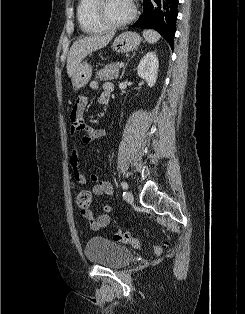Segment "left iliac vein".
<instances>
[{
  "mask_svg": "<svg viewBox=\"0 0 245 314\" xmlns=\"http://www.w3.org/2000/svg\"><path fill=\"white\" fill-rule=\"evenodd\" d=\"M125 199L128 203H132L133 202V194L131 191H127L125 194Z\"/></svg>",
  "mask_w": 245,
  "mask_h": 314,
  "instance_id": "1",
  "label": "left iliac vein"
}]
</instances>
